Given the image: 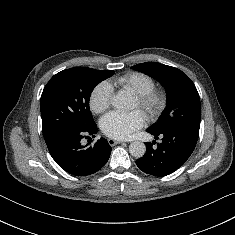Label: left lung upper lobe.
Instances as JSON below:
<instances>
[{
  "mask_svg": "<svg viewBox=\"0 0 235 235\" xmlns=\"http://www.w3.org/2000/svg\"><path fill=\"white\" fill-rule=\"evenodd\" d=\"M132 69L155 78L165 87L167 93V110L149 130L162 133L179 127L199 129V94L194 83L181 70L157 62L137 64Z\"/></svg>",
  "mask_w": 235,
  "mask_h": 235,
  "instance_id": "obj_1",
  "label": "left lung upper lobe"
}]
</instances>
